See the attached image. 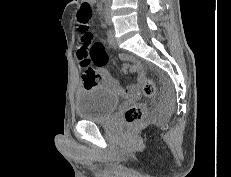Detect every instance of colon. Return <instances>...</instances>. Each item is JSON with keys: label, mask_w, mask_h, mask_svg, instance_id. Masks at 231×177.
<instances>
[{"label": "colon", "mask_w": 231, "mask_h": 177, "mask_svg": "<svg viewBox=\"0 0 231 177\" xmlns=\"http://www.w3.org/2000/svg\"><path fill=\"white\" fill-rule=\"evenodd\" d=\"M91 16V6L89 4H82L77 19L78 29L81 33L78 56L83 66L86 67L83 77L87 82H95L98 78L96 70L89 67L90 64L101 66L108 61V55L103 46L93 40V34L90 30ZM143 93L148 98L155 94V85L152 80H144ZM144 112V103L133 105L126 110L125 119L130 125L138 124L143 120Z\"/></svg>", "instance_id": "1"}]
</instances>
